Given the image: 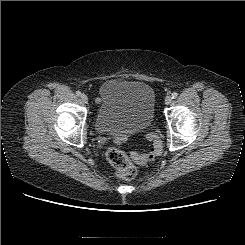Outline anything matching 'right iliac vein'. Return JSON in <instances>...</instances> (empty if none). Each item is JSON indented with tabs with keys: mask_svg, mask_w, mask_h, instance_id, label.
Wrapping results in <instances>:
<instances>
[{
	"mask_svg": "<svg viewBox=\"0 0 245 245\" xmlns=\"http://www.w3.org/2000/svg\"><path fill=\"white\" fill-rule=\"evenodd\" d=\"M81 100H82L84 103H88V97H87V95L82 94V95H81Z\"/></svg>",
	"mask_w": 245,
	"mask_h": 245,
	"instance_id": "63e3f726",
	"label": "right iliac vein"
}]
</instances>
